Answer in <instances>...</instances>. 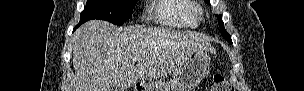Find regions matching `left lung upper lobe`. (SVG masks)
I'll list each match as a JSON object with an SVG mask.
<instances>
[{"label": "left lung upper lobe", "mask_w": 304, "mask_h": 91, "mask_svg": "<svg viewBox=\"0 0 304 91\" xmlns=\"http://www.w3.org/2000/svg\"><path fill=\"white\" fill-rule=\"evenodd\" d=\"M205 1H206V3L210 4V0H205ZM216 16L218 18V23H219V26H220L221 35L229 43H232L231 36L227 33V31L224 28V24H223V21H222V16L221 15H216Z\"/></svg>", "instance_id": "5c2ea615"}]
</instances>
